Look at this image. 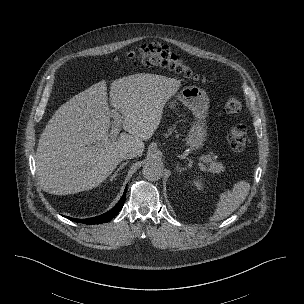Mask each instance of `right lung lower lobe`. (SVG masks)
Returning a JSON list of instances; mask_svg holds the SVG:
<instances>
[{"label":"right lung lower lobe","mask_w":304,"mask_h":304,"mask_svg":"<svg viewBox=\"0 0 304 304\" xmlns=\"http://www.w3.org/2000/svg\"><path fill=\"white\" fill-rule=\"evenodd\" d=\"M125 198H126V189H125L120 201L110 211H108L102 215H99V216H96L93 218H88V219H75V218H70V217H66V218H68L72 221L84 223V224L106 223V222L110 221L112 218H114L118 214V212L122 209L124 202H125Z\"/></svg>","instance_id":"right-lung-lower-lobe-1"}]
</instances>
